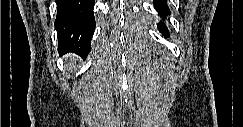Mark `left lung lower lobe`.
<instances>
[{
	"mask_svg": "<svg viewBox=\"0 0 243 127\" xmlns=\"http://www.w3.org/2000/svg\"><path fill=\"white\" fill-rule=\"evenodd\" d=\"M154 7L157 10L158 14L161 16H167L170 15V10L167 5L166 0H154L153 1ZM159 31L165 36L168 37V29L165 24L159 23L158 25Z\"/></svg>",
	"mask_w": 243,
	"mask_h": 127,
	"instance_id": "obj_1",
	"label": "left lung lower lobe"
}]
</instances>
